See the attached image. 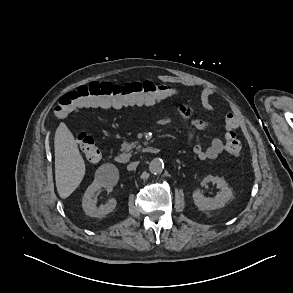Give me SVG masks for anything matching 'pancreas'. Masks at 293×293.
Wrapping results in <instances>:
<instances>
[{
	"label": "pancreas",
	"instance_id": "obj_1",
	"mask_svg": "<svg viewBox=\"0 0 293 293\" xmlns=\"http://www.w3.org/2000/svg\"><path fill=\"white\" fill-rule=\"evenodd\" d=\"M137 149L138 151L141 149L140 145H136L135 143H123L121 146V151H125V152H131L132 149Z\"/></svg>",
	"mask_w": 293,
	"mask_h": 293
}]
</instances>
